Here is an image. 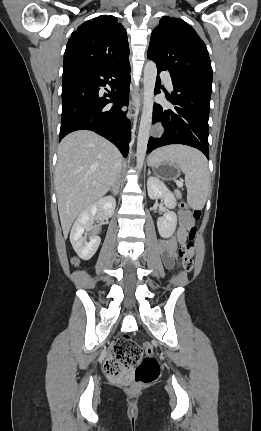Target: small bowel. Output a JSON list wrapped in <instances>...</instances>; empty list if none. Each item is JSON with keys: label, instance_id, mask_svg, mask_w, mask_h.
<instances>
[{"label": "small bowel", "instance_id": "small-bowel-1", "mask_svg": "<svg viewBox=\"0 0 261 431\" xmlns=\"http://www.w3.org/2000/svg\"><path fill=\"white\" fill-rule=\"evenodd\" d=\"M180 225L175 236L163 239L159 242L158 248L162 256L163 263L167 269H174L178 259V249L187 238V229L192 225L191 220L184 214H179Z\"/></svg>", "mask_w": 261, "mask_h": 431}]
</instances>
